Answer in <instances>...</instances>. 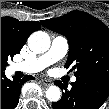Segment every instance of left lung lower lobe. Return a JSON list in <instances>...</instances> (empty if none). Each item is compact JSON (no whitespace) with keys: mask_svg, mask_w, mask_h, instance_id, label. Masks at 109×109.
<instances>
[{"mask_svg":"<svg viewBox=\"0 0 109 109\" xmlns=\"http://www.w3.org/2000/svg\"><path fill=\"white\" fill-rule=\"evenodd\" d=\"M56 84L59 86L58 81ZM64 88L61 100L52 103L53 109H99L109 96V78L96 74L81 75L76 77L71 90H67V86Z\"/></svg>","mask_w":109,"mask_h":109,"instance_id":"1","label":"left lung lower lobe"}]
</instances>
